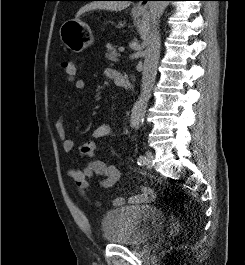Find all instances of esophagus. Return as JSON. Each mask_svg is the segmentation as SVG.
Returning <instances> with one entry per match:
<instances>
[{"instance_id":"obj_1","label":"esophagus","mask_w":245,"mask_h":265,"mask_svg":"<svg viewBox=\"0 0 245 265\" xmlns=\"http://www.w3.org/2000/svg\"><path fill=\"white\" fill-rule=\"evenodd\" d=\"M147 6H148L147 1L141 0L135 5L134 10L139 12H144L147 10Z\"/></svg>"}]
</instances>
